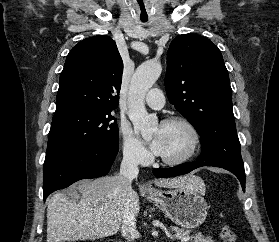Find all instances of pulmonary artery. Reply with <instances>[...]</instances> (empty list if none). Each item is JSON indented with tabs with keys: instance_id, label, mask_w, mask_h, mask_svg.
<instances>
[{
	"instance_id": "obj_1",
	"label": "pulmonary artery",
	"mask_w": 279,
	"mask_h": 242,
	"mask_svg": "<svg viewBox=\"0 0 279 242\" xmlns=\"http://www.w3.org/2000/svg\"><path fill=\"white\" fill-rule=\"evenodd\" d=\"M145 101L148 106L154 109H160L165 104L164 95L158 88L151 89L147 94Z\"/></svg>"
}]
</instances>
